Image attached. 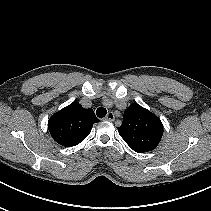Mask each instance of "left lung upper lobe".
Instances as JSON below:
<instances>
[{
	"instance_id": "left-lung-upper-lobe-1",
	"label": "left lung upper lobe",
	"mask_w": 211,
	"mask_h": 211,
	"mask_svg": "<svg viewBox=\"0 0 211 211\" xmlns=\"http://www.w3.org/2000/svg\"><path fill=\"white\" fill-rule=\"evenodd\" d=\"M117 129L129 147L138 153L154 150L163 134L160 119L138 104L125 110L122 125Z\"/></svg>"
}]
</instances>
